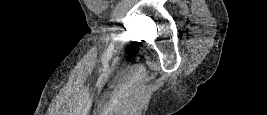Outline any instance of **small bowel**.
Wrapping results in <instances>:
<instances>
[{
    "label": "small bowel",
    "mask_w": 267,
    "mask_h": 115,
    "mask_svg": "<svg viewBox=\"0 0 267 115\" xmlns=\"http://www.w3.org/2000/svg\"><path fill=\"white\" fill-rule=\"evenodd\" d=\"M89 7H91L93 10L95 11H101L105 4L102 1H98V0H86L85 1Z\"/></svg>",
    "instance_id": "obj_1"
}]
</instances>
